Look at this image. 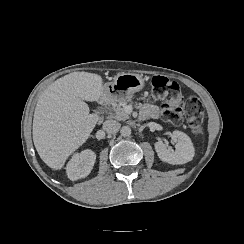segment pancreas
Returning a JSON list of instances; mask_svg holds the SVG:
<instances>
[{
    "mask_svg": "<svg viewBox=\"0 0 244 244\" xmlns=\"http://www.w3.org/2000/svg\"><path fill=\"white\" fill-rule=\"evenodd\" d=\"M109 103L113 107V112L110 113V118H114L118 121H126L129 119V113L125 111V109L121 106L122 104L126 105L127 101H109Z\"/></svg>",
    "mask_w": 244,
    "mask_h": 244,
    "instance_id": "pancreas-1",
    "label": "pancreas"
}]
</instances>
